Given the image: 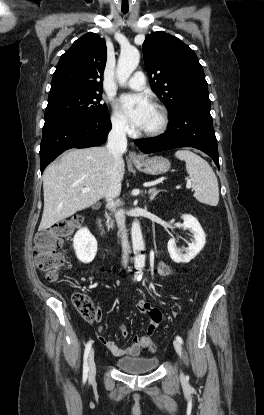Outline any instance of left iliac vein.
I'll return each mask as SVG.
<instances>
[{"label": "left iliac vein", "instance_id": "1", "mask_svg": "<svg viewBox=\"0 0 264 415\" xmlns=\"http://www.w3.org/2000/svg\"><path fill=\"white\" fill-rule=\"evenodd\" d=\"M173 345H174L176 352L179 354V356H181L182 355L181 343L178 340H174ZM181 376H183V373H181Z\"/></svg>", "mask_w": 264, "mask_h": 415}]
</instances>
